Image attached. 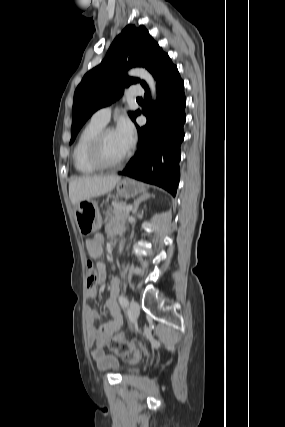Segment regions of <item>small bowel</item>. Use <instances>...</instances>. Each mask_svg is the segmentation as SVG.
Returning <instances> with one entry per match:
<instances>
[{
  "mask_svg": "<svg viewBox=\"0 0 285 427\" xmlns=\"http://www.w3.org/2000/svg\"><path fill=\"white\" fill-rule=\"evenodd\" d=\"M104 237L101 234H95L92 238L86 241L88 254L95 259H98L102 254ZM98 284L104 282L106 271L103 264L99 263L97 268ZM119 278H114L111 281L110 296L105 302V306L109 311L112 319L108 322L97 324L100 320V314L93 310H88L87 332L89 340L95 343V347L91 350V357L102 368H110L114 364L115 359L104 352V348L108 344L111 337L114 336L123 326V316L117 304V296L119 293ZM97 294L96 286L87 289V297L94 298Z\"/></svg>",
  "mask_w": 285,
  "mask_h": 427,
  "instance_id": "obj_1",
  "label": "small bowel"
}]
</instances>
